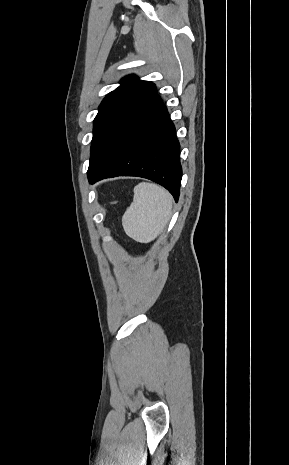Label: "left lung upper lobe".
I'll return each mask as SVG.
<instances>
[{
    "instance_id": "1",
    "label": "left lung upper lobe",
    "mask_w": 289,
    "mask_h": 465,
    "mask_svg": "<svg viewBox=\"0 0 289 465\" xmlns=\"http://www.w3.org/2000/svg\"><path fill=\"white\" fill-rule=\"evenodd\" d=\"M156 95L155 84L129 75L104 98L94 119L88 174L113 150Z\"/></svg>"
}]
</instances>
